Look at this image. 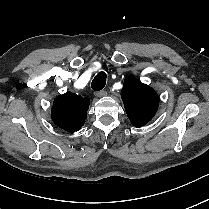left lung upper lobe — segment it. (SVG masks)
<instances>
[{"mask_svg": "<svg viewBox=\"0 0 209 209\" xmlns=\"http://www.w3.org/2000/svg\"><path fill=\"white\" fill-rule=\"evenodd\" d=\"M121 97L127 116L135 127L147 124L157 112L158 94L133 76L125 78Z\"/></svg>", "mask_w": 209, "mask_h": 209, "instance_id": "left-lung-upper-lobe-1", "label": "left lung upper lobe"}]
</instances>
